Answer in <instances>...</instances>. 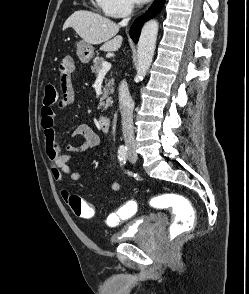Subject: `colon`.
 <instances>
[{"label": "colon", "mask_w": 249, "mask_h": 294, "mask_svg": "<svg viewBox=\"0 0 249 294\" xmlns=\"http://www.w3.org/2000/svg\"><path fill=\"white\" fill-rule=\"evenodd\" d=\"M71 59L65 57L59 64V73L65 76L71 69ZM60 100L58 88L53 84H46L43 102L45 105L52 106ZM154 207L169 206L176 216L168 228L170 240L177 239L180 235L190 231L194 226V208L190 201L180 195L165 194L151 200ZM69 205L73 213L78 217H92L94 212L90 205L78 195H71ZM137 211V203L128 201L121 208L120 217L123 219L133 216ZM187 212V213H186Z\"/></svg>", "instance_id": "1"}]
</instances>
